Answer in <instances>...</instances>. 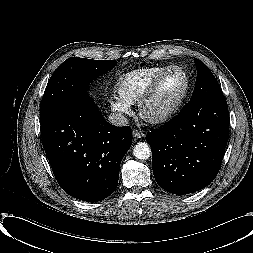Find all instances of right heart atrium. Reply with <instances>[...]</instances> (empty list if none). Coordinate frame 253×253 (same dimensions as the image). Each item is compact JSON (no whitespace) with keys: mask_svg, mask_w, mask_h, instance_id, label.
I'll list each match as a JSON object with an SVG mask.
<instances>
[{"mask_svg":"<svg viewBox=\"0 0 253 253\" xmlns=\"http://www.w3.org/2000/svg\"><path fill=\"white\" fill-rule=\"evenodd\" d=\"M109 106L119 115H128L131 111L130 104L120 98L110 99Z\"/></svg>","mask_w":253,"mask_h":253,"instance_id":"right-heart-atrium-1","label":"right heart atrium"}]
</instances>
